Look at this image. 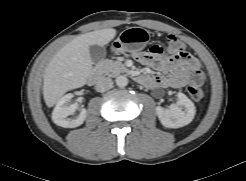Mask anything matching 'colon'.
I'll list each match as a JSON object with an SVG mask.
<instances>
[{"label": "colon", "instance_id": "colon-1", "mask_svg": "<svg viewBox=\"0 0 246 181\" xmlns=\"http://www.w3.org/2000/svg\"><path fill=\"white\" fill-rule=\"evenodd\" d=\"M185 44L179 40L178 38H176L175 36H168L167 40H166V44L165 46H153L152 47V51L154 53H179L184 51L185 49ZM192 76H193V81L194 83L188 88V93L191 96V98L195 101H200L204 98V92L200 87V84L203 82V74L200 71V68L198 65H196L193 68V72H192Z\"/></svg>", "mask_w": 246, "mask_h": 181}]
</instances>
